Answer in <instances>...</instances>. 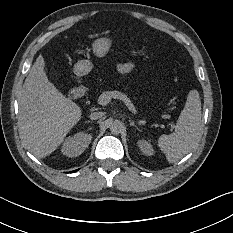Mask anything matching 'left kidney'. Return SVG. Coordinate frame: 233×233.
Returning <instances> with one entry per match:
<instances>
[{
    "label": "left kidney",
    "mask_w": 233,
    "mask_h": 233,
    "mask_svg": "<svg viewBox=\"0 0 233 233\" xmlns=\"http://www.w3.org/2000/svg\"><path fill=\"white\" fill-rule=\"evenodd\" d=\"M135 144L144 155L149 157L156 155V149L151 140L139 138L136 140Z\"/></svg>",
    "instance_id": "1"
}]
</instances>
